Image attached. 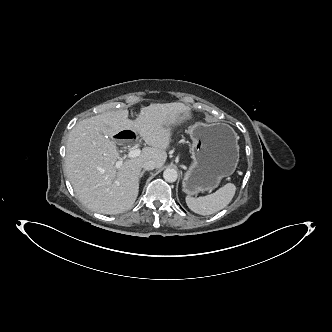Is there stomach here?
<instances>
[{"label": "stomach", "instance_id": "0dacf381", "mask_svg": "<svg viewBox=\"0 0 332 332\" xmlns=\"http://www.w3.org/2000/svg\"><path fill=\"white\" fill-rule=\"evenodd\" d=\"M192 163L185 172L183 190L188 196L211 192L224 177L234 173L239 162V145L233 128L224 123L189 127Z\"/></svg>", "mask_w": 332, "mask_h": 332}]
</instances>
